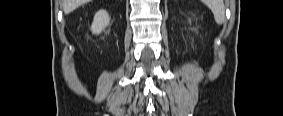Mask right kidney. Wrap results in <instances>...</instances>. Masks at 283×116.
<instances>
[{"mask_svg":"<svg viewBox=\"0 0 283 116\" xmlns=\"http://www.w3.org/2000/svg\"><path fill=\"white\" fill-rule=\"evenodd\" d=\"M110 23V16L105 10H99L91 25V31L94 34H100Z\"/></svg>","mask_w":283,"mask_h":116,"instance_id":"ca27d5eb","label":"right kidney"}]
</instances>
